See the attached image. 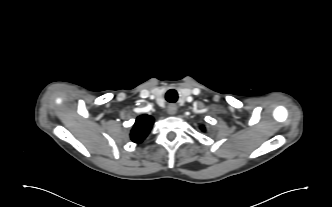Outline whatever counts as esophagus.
I'll use <instances>...</instances> for the list:
<instances>
[{
    "instance_id": "esophagus-1",
    "label": "esophagus",
    "mask_w": 332,
    "mask_h": 207,
    "mask_svg": "<svg viewBox=\"0 0 332 207\" xmlns=\"http://www.w3.org/2000/svg\"><path fill=\"white\" fill-rule=\"evenodd\" d=\"M167 112L169 115H175L177 112V106L174 104L169 105L167 108Z\"/></svg>"
}]
</instances>
